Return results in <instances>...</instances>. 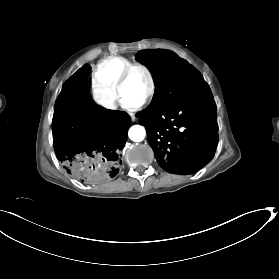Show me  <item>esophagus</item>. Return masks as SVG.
<instances>
[{
	"instance_id": "esophagus-1",
	"label": "esophagus",
	"mask_w": 279,
	"mask_h": 279,
	"mask_svg": "<svg viewBox=\"0 0 279 279\" xmlns=\"http://www.w3.org/2000/svg\"><path fill=\"white\" fill-rule=\"evenodd\" d=\"M129 115L131 116L132 121L136 120L134 113H129Z\"/></svg>"
}]
</instances>
